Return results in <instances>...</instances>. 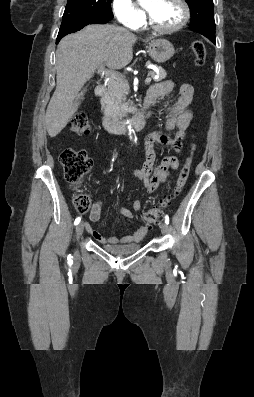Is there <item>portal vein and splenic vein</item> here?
<instances>
[{"label": "portal vein and splenic vein", "mask_w": 254, "mask_h": 397, "mask_svg": "<svg viewBox=\"0 0 254 397\" xmlns=\"http://www.w3.org/2000/svg\"><path fill=\"white\" fill-rule=\"evenodd\" d=\"M97 73L111 80H118L122 77L119 73L115 71L105 69L103 64L99 65ZM145 82L149 84L151 82V78L147 77Z\"/></svg>", "instance_id": "18ae733b"}]
</instances>
